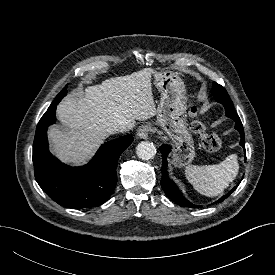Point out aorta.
Returning a JSON list of instances; mask_svg holds the SVG:
<instances>
[{
	"label": "aorta",
	"mask_w": 275,
	"mask_h": 275,
	"mask_svg": "<svg viewBox=\"0 0 275 275\" xmlns=\"http://www.w3.org/2000/svg\"><path fill=\"white\" fill-rule=\"evenodd\" d=\"M136 153L142 160H150L156 154V147L152 142L142 141L136 147Z\"/></svg>",
	"instance_id": "aorta-1"
}]
</instances>
